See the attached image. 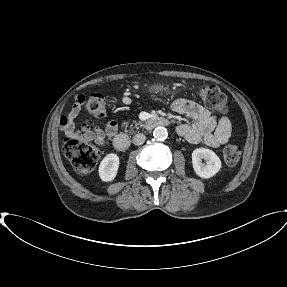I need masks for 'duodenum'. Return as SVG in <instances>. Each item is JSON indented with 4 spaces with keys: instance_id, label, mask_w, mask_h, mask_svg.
<instances>
[{
    "instance_id": "duodenum-1",
    "label": "duodenum",
    "mask_w": 287,
    "mask_h": 287,
    "mask_svg": "<svg viewBox=\"0 0 287 287\" xmlns=\"http://www.w3.org/2000/svg\"><path fill=\"white\" fill-rule=\"evenodd\" d=\"M170 121L163 116H151L144 122V127L147 130H153L159 126H167ZM130 145V139L126 134H117L113 139V146L118 151H125Z\"/></svg>"
}]
</instances>
